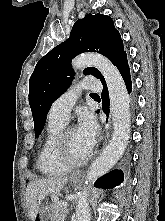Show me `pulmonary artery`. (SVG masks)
<instances>
[{"instance_id":"pulmonary-artery-1","label":"pulmonary artery","mask_w":165,"mask_h":221,"mask_svg":"<svg viewBox=\"0 0 165 221\" xmlns=\"http://www.w3.org/2000/svg\"><path fill=\"white\" fill-rule=\"evenodd\" d=\"M82 90L98 91L100 84L97 79L88 77L69 88L53 102L48 114L49 120L66 123Z\"/></svg>"}]
</instances>
